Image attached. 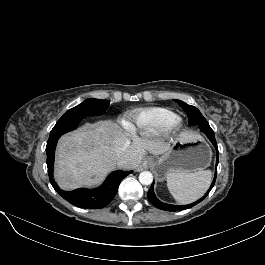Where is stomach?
I'll return each instance as SVG.
<instances>
[{"label":"stomach","mask_w":265,"mask_h":265,"mask_svg":"<svg viewBox=\"0 0 265 265\" xmlns=\"http://www.w3.org/2000/svg\"><path fill=\"white\" fill-rule=\"evenodd\" d=\"M209 144L201 137L180 139L157 160L155 169L159 176L171 172H196L209 166L211 162Z\"/></svg>","instance_id":"1"}]
</instances>
